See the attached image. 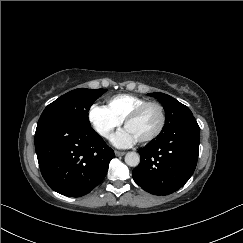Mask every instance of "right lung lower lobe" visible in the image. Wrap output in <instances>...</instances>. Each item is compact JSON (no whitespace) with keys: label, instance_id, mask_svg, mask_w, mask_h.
I'll return each mask as SVG.
<instances>
[{"label":"right lung lower lobe","instance_id":"98d812e1","mask_svg":"<svg viewBox=\"0 0 243 243\" xmlns=\"http://www.w3.org/2000/svg\"><path fill=\"white\" fill-rule=\"evenodd\" d=\"M35 149L47 184L70 197L83 196L100 184L114 157L91 127L65 121L37 126Z\"/></svg>","mask_w":243,"mask_h":243}]
</instances>
